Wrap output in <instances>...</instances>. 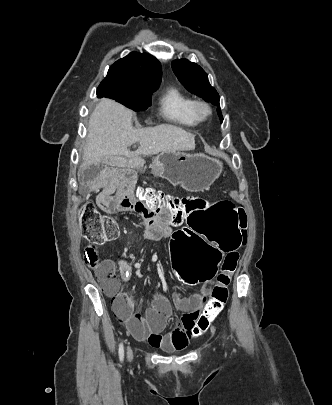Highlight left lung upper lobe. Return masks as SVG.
<instances>
[{"mask_svg": "<svg viewBox=\"0 0 332 405\" xmlns=\"http://www.w3.org/2000/svg\"><path fill=\"white\" fill-rule=\"evenodd\" d=\"M171 65L175 75L188 91L218 106L217 112L222 122L223 117L219 106L220 98L215 88L210 85L205 71L199 65L187 59L174 60Z\"/></svg>", "mask_w": 332, "mask_h": 405, "instance_id": "5c2ea615", "label": "left lung upper lobe"}]
</instances>
